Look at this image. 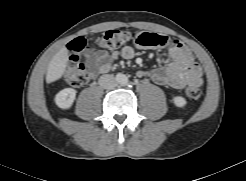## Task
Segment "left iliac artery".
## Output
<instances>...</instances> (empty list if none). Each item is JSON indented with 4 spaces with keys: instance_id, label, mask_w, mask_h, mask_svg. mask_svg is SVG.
<instances>
[{
    "instance_id": "obj_1",
    "label": "left iliac artery",
    "mask_w": 246,
    "mask_h": 181,
    "mask_svg": "<svg viewBox=\"0 0 246 181\" xmlns=\"http://www.w3.org/2000/svg\"><path fill=\"white\" fill-rule=\"evenodd\" d=\"M125 81L127 82V81H128V79H127V78H125Z\"/></svg>"
}]
</instances>
